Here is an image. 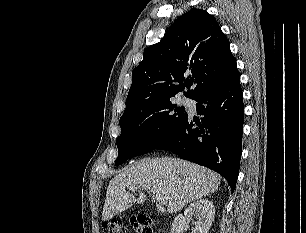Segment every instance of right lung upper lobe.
Segmentation results:
<instances>
[{
  "mask_svg": "<svg viewBox=\"0 0 306 233\" xmlns=\"http://www.w3.org/2000/svg\"><path fill=\"white\" fill-rule=\"evenodd\" d=\"M237 71L229 41L216 19L205 10L191 9L159 43L145 50L142 62L132 71L123 115L168 100L185 86L186 97L197 100Z\"/></svg>",
  "mask_w": 306,
  "mask_h": 233,
  "instance_id": "cb5924a9",
  "label": "right lung upper lobe"
}]
</instances>
